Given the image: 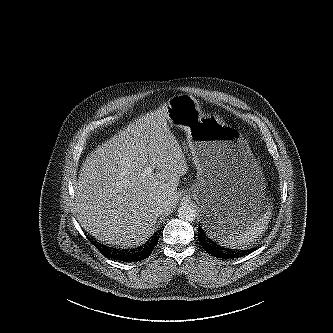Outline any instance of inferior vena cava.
I'll return each mask as SVG.
<instances>
[{
    "label": "inferior vena cava",
    "instance_id": "obj_1",
    "mask_svg": "<svg viewBox=\"0 0 333 333\" xmlns=\"http://www.w3.org/2000/svg\"><path fill=\"white\" fill-rule=\"evenodd\" d=\"M165 211H167V206L166 203L164 201H159L157 207H156V213L157 214H162Z\"/></svg>",
    "mask_w": 333,
    "mask_h": 333
}]
</instances>
